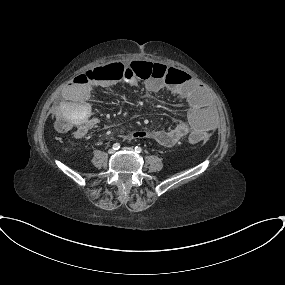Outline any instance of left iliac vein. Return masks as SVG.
<instances>
[{
    "label": "left iliac vein",
    "instance_id": "1",
    "mask_svg": "<svg viewBox=\"0 0 285 285\" xmlns=\"http://www.w3.org/2000/svg\"><path fill=\"white\" fill-rule=\"evenodd\" d=\"M123 150L128 151V152H133V148L131 147H124Z\"/></svg>",
    "mask_w": 285,
    "mask_h": 285
}]
</instances>
